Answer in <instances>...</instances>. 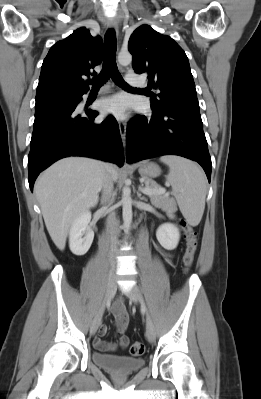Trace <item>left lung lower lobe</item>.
Segmentation results:
<instances>
[{
    "instance_id": "0a47b994",
    "label": "left lung lower lobe",
    "mask_w": 261,
    "mask_h": 399,
    "mask_svg": "<svg viewBox=\"0 0 261 399\" xmlns=\"http://www.w3.org/2000/svg\"><path fill=\"white\" fill-rule=\"evenodd\" d=\"M127 162L179 155L198 162L210 182L211 157L199 107L180 105L151 117L136 116L126 131Z\"/></svg>"
}]
</instances>
